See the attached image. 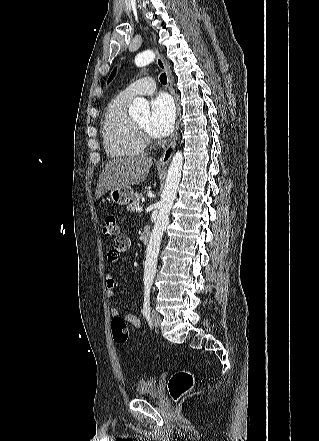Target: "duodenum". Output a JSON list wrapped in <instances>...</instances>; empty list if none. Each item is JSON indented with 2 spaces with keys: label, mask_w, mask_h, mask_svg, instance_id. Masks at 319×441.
<instances>
[{
  "label": "duodenum",
  "mask_w": 319,
  "mask_h": 441,
  "mask_svg": "<svg viewBox=\"0 0 319 441\" xmlns=\"http://www.w3.org/2000/svg\"><path fill=\"white\" fill-rule=\"evenodd\" d=\"M150 236H151V229L150 227L145 226L141 234V239L143 243L147 244L150 240Z\"/></svg>",
  "instance_id": "410a0bca"
}]
</instances>
